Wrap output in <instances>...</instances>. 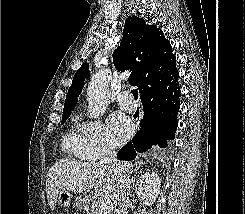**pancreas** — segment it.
Returning a JSON list of instances; mask_svg holds the SVG:
<instances>
[{"mask_svg":"<svg viewBox=\"0 0 245 214\" xmlns=\"http://www.w3.org/2000/svg\"><path fill=\"white\" fill-rule=\"evenodd\" d=\"M91 212V214H113L112 207L110 205L102 207L99 200L92 203Z\"/></svg>","mask_w":245,"mask_h":214,"instance_id":"cf45deb5","label":"pancreas"}]
</instances>
